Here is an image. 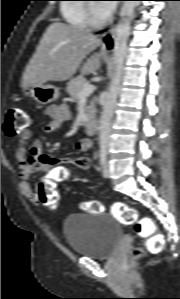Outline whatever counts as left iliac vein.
<instances>
[{
	"label": "left iliac vein",
	"instance_id": "1",
	"mask_svg": "<svg viewBox=\"0 0 180 299\" xmlns=\"http://www.w3.org/2000/svg\"><path fill=\"white\" fill-rule=\"evenodd\" d=\"M103 176L105 178H109L110 177V164L109 162H106L104 167H103Z\"/></svg>",
	"mask_w": 180,
	"mask_h": 299
}]
</instances>
